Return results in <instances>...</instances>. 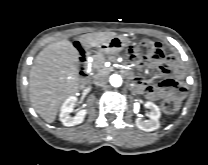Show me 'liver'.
I'll use <instances>...</instances> for the list:
<instances>
[{
    "instance_id": "obj_1",
    "label": "liver",
    "mask_w": 208,
    "mask_h": 165,
    "mask_svg": "<svg viewBox=\"0 0 208 165\" xmlns=\"http://www.w3.org/2000/svg\"><path fill=\"white\" fill-rule=\"evenodd\" d=\"M116 32H95L78 36L83 49L98 47ZM79 52L68 40L46 46L36 56L29 75V98L35 111L46 122L56 119L60 105L82 90L85 79L78 76Z\"/></svg>"
}]
</instances>
